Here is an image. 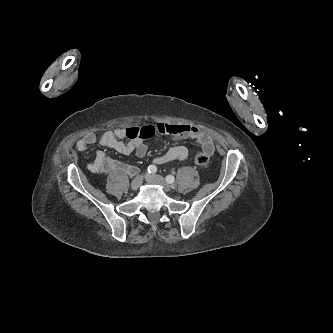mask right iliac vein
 I'll list each match as a JSON object with an SVG mask.
<instances>
[{
	"label": "right iliac vein",
	"mask_w": 333,
	"mask_h": 333,
	"mask_svg": "<svg viewBox=\"0 0 333 333\" xmlns=\"http://www.w3.org/2000/svg\"><path fill=\"white\" fill-rule=\"evenodd\" d=\"M143 183V176L139 175V176H136L133 181L131 182V189L132 190H138L140 188V186L142 185Z\"/></svg>",
	"instance_id": "obj_1"
}]
</instances>
